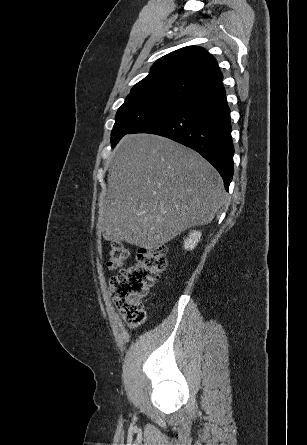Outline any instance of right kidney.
Listing matches in <instances>:
<instances>
[{"instance_id":"obj_1","label":"right kidney","mask_w":307,"mask_h":445,"mask_svg":"<svg viewBox=\"0 0 307 445\" xmlns=\"http://www.w3.org/2000/svg\"><path fill=\"white\" fill-rule=\"evenodd\" d=\"M200 239V231H192V233H190L189 235V239H186V241H184V249H186V251H192V249L196 247L197 243H199Z\"/></svg>"}]
</instances>
